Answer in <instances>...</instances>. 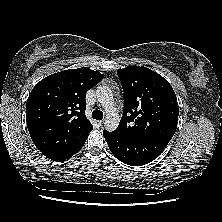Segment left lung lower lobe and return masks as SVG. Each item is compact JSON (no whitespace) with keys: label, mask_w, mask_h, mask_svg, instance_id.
<instances>
[{"label":"left lung lower lobe","mask_w":222,"mask_h":222,"mask_svg":"<svg viewBox=\"0 0 222 222\" xmlns=\"http://www.w3.org/2000/svg\"><path fill=\"white\" fill-rule=\"evenodd\" d=\"M110 151L121 162L141 166L156 159L169 141L160 138L129 137L115 131H103Z\"/></svg>","instance_id":"left-lung-lower-lobe-1"}]
</instances>
